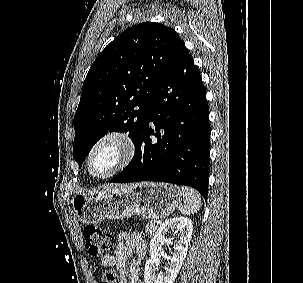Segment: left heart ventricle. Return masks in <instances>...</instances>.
<instances>
[{
  "label": "left heart ventricle",
  "instance_id": "1",
  "mask_svg": "<svg viewBox=\"0 0 303 283\" xmlns=\"http://www.w3.org/2000/svg\"><path fill=\"white\" fill-rule=\"evenodd\" d=\"M119 151L116 145L106 143L95 152L91 161L93 173L101 175L108 172L118 159Z\"/></svg>",
  "mask_w": 303,
  "mask_h": 283
}]
</instances>
